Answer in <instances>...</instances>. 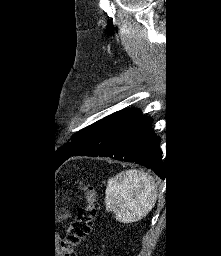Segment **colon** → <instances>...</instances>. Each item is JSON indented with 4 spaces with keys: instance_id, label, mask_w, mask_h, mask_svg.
Masks as SVG:
<instances>
[{
    "instance_id": "5ec220e1",
    "label": "colon",
    "mask_w": 221,
    "mask_h": 256,
    "mask_svg": "<svg viewBox=\"0 0 221 256\" xmlns=\"http://www.w3.org/2000/svg\"><path fill=\"white\" fill-rule=\"evenodd\" d=\"M80 187L85 195L86 204L78 208L75 220L60 242L62 256H76L73 249L83 238L89 235L97 214V199L92 185L81 181Z\"/></svg>"
}]
</instances>
